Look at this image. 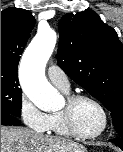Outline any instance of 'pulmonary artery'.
<instances>
[{
    "mask_svg": "<svg viewBox=\"0 0 123 152\" xmlns=\"http://www.w3.org/2000/svg\"><path fill=\"white\" fill-rule=\"evenodd\" d=\"M49 80L63 91H69L70 82L66 73L56 65H50L47 68Z\"/></svg>",
    "mask_w": 123,
    "mask_h": 152,
    "instance_id": "1",
    "label": "pulmonary artery"
}]
</instances>
